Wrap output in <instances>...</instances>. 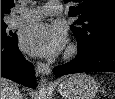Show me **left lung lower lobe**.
I'll return each mask as SVG.
<instances>
[{
	"instance_id": "0a47b994",
	"label": "left lung lower lobe",
	"mask_w": 115,
	"mask_h": 99,
	"mask_svg": "<svg viewBox=\"0 0 115 99\" xmlns=\"http://www.w3.org/2000/svg\"><path fill=\"white\" fill-rule=\"evenodd\" d=\"M58 77L80 72H115V45H106L78 55L69 63L55 67Z\"/></svg>"
}]
</instances>
